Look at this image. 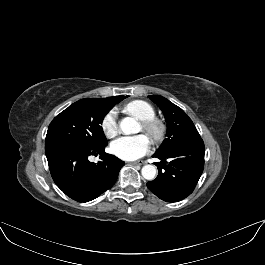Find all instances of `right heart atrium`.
<instances>
[{
    "instance_id": "obj_1",
    "label": "right heart atrium",
    "mask_w": 265,
    "mask_h": 265,
    "mask_svg": "<svg viewBox=\"0 0 265 265\" xmlns=\"http://www.w3.org/2000/svg\"><path fill=\"white\" fill-rule=\"evenodd\" d=\"M101 127L107 138H113L117 135L118 117L116 110H110L103 116Z\"/></svg>"
}]
</instances>
